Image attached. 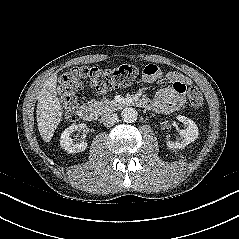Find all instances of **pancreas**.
Masks as SVG:
<instances>
[{
	"instance_id": "obj_1",
	"label": "pancreas",
	"mask_w": 239,
	"mask_h": 239,
	"mask_svg": "<svg viewBox=\"0 0 239 239\" xmlns=\"http://www.w3.org/2000/svg\"><path fill=\"white\" fill-rule=\"evenodd\" d=\"M92 106L98 111H108L116 106V103L114 101L106 99L104 101H95L94 103H92Z\"/></svg>"
}]
</instances>
